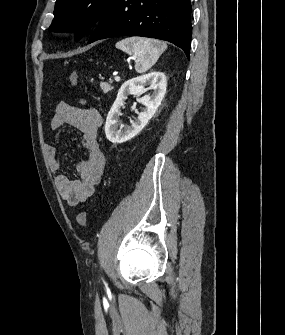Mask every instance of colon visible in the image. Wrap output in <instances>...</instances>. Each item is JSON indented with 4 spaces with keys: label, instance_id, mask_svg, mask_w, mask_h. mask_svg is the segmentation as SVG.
Listing matches in <instances>:
<instances>
[{
    "label": "colon",
    "instance_id": "colon-1",
    "mask_svg": "<svg viewBox=\"0 0 285 335\" xmlns=\"http://www.w3.org/2000/svg\"><path fill=\"white\" fill-rule=\"evenodd\" d=\"M69 80L72 86H77L78 84V75L76 73V71H72L69 75ZM77 223L81 226V227H86L87 226V212L86 211H80L77 214L76 217Z\"/></svg>",
    "mask_w": 285,
    "mask_h": 335
}]
</instances>
